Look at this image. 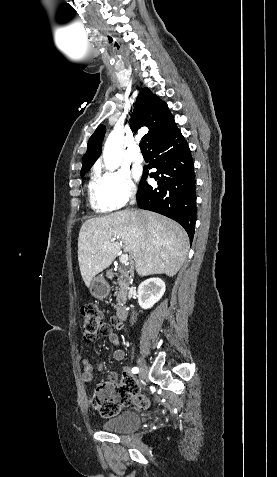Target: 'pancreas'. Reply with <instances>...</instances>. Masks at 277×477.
<instances>
[{
	"mask_svg": "<svg viewBox=\"0 0 277 477\" xmlns=\"http://www.w3.org/2000/svg\"><path fill=\"white\" fill-rule=\"evenodd\" d=\"M122 275L118 277L117 282H114L115 285L118 286L117 291L115 292V296L117 298V306L116 309L120 308L121 302H125L127 299V291L129 288V282L126 278V274L122 272Z\"/></svg>",
	"mask_w": 277,
	"mask_h": 477,
	"instance_id": "pancreas-1",
	"label": "pancreas"
}]
</instances>
